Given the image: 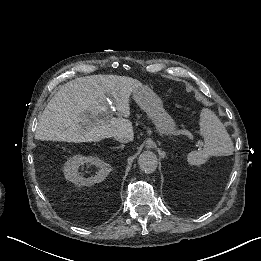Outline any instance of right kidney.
Masks as SVG:
<instances>
[{"label": "right kidney", "mask_w": 261, "mask_h": 261, "mask_svg": "<svg viewBox=\"0 0 261 261\" xmlns=\"http://www.w3.org/2000/svg\"><path fill=\"white\" fill-rule=\"evenodd\" d=\"M84 164L96 166L100 169L96 172V175L94 177L84 178L78 172V168ZM110 170L111 167L109 164L105 163L104 161L95 156H76L67 161L64 174L69 181L81 186L89 187L103 181L109 174Z\"/></svg>", "instance_id": "ca27d5eb"}]
</instances>
